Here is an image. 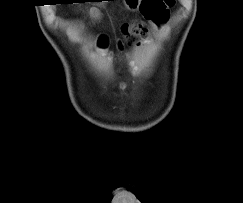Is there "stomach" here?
<instances>
[{
  "label": "stomach",
  "instance_id": "0dacf381",
  "mask_svg": "<svg viewBox=\"0 0 243 203\" xmlns=\"http://www.w3.org/2000/svg\"><path fill=\"white\" fill-rule=\"evenodd\" d=\"M142 0H124L125 7L130 11H135L139 8Z\"/></svg>",
  "mask_w": 243,
  "mask_h": 203
}]
</instances>
